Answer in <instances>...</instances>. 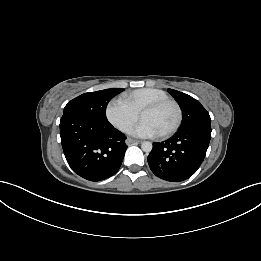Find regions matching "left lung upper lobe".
<instances>
[{"label": "left lung upper lobe", "instance_id": "5c2ea615", "mask_svg": "<svg viewBox=\"0 0 261 261\" xmlns=\"http://www.w3.org/2000/svg\"><path fill=\"white\" fill-rule=\"evenodd\" d=\"M168 91L177 100L182 110L183 121L179 130L198 124H211L209 113L199 101L177 90L169 89Z\"/></svg>", "mask_w": 261, "mask_h": 261}]
</instances>
